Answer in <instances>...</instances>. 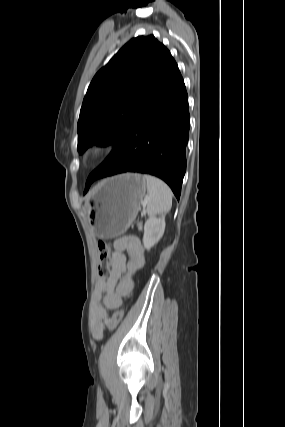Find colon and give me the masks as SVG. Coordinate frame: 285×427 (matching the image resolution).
Instances as JSON below:
<instances>
[{
	"label": "colon",
	"mask_w": 285,
	"mask_h": 427,
	"mask_svg": "<svg viewBox=\"0 0 285 427\" xmlns=\"http://www.w3.org/2000/svg\"><path fill=\"white\" fill-rule=\"evenodd\" d=\"M99 263L97 266V276L99 282H104L110 273V246L103 241L98 242ZM124 316V310H116L108 321V328L114 329Z\"/></svg>",
	"instance_id": "1"
}]
</instances>
